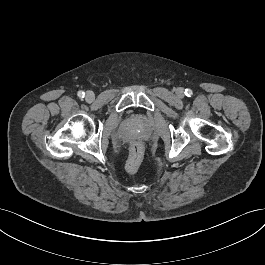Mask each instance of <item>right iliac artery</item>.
<instances>
[{"label":"right iliac artery","mask_w":265,"mask_h":265,"mask_svg":"<svg viewBox=\"0 0 265 265\" xmlns=\"http://www.w3.org/2000/svg\"><path fill=\"white\" fill-rule=\"evenodd\" d=\"M77 95H78V97H80V98H84L85 93H84L83 91H79Z\"/></svg>","instance_id":"right-iliac-artery-1"}]
</instances>
